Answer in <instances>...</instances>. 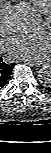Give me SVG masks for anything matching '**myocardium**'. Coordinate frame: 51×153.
I'll return each mask as SVG.
<instances>
[{"mask_svg": "<svg viewBox=\"0 0 51 153\" xmlns=\"http://www.w3.org/2000/svg\"><path fill=\"white\" fill-rule=\"evenodd\" d=\"M46 25L51 28V12L45 15Z\"/></svg>", "mask_w": 51, "mask_h": 153, "instance_id": "1", "label": "myocardium"}]
</instances>
